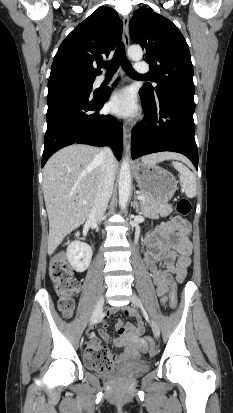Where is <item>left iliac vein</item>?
Instances as JSON below:
<instances>
[{
	"label": "left iliac vein",
	"mask_w": 233,
	"mask_h": 413,
	"mask_svg": "<svg viewBox=\"0 0 233 413\" xmlns=\"http://www.w3.org/2000/svg\"><path fill=\"white\" fill-rule=\"evenodd\" d=\"M131 302L138 308L143 307L141 300L138 298V296L136 294L131 295ZM149 322H150V326H151L154 337L159 338V336H160L159 326L157 325V323L153 319H150Z\"/></svg>",
	"instance_id": "1"
}]
</instances>
